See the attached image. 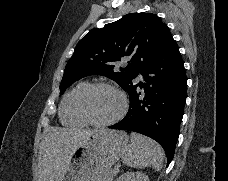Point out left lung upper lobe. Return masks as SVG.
<instances>
[{"instance_id": "5c2ea615", "label": "left lung upper lobe", "mask_w": 228, "mask_h": 181, "mask_svg": "<svg viewBox=\"0 0 228 181\" xmlns=\"http://www.w3.org/2000/svg\"><path fill=\"white\" fill-rule=\"evenodd\" d=\"M171 37L157 15L144 12L127 14L104 28L90 30L66 65L60 94L88 75L106 76L129 94L142 68ZM124 57L130 60L121 67Z\"/></svg>"}]
</instances>
